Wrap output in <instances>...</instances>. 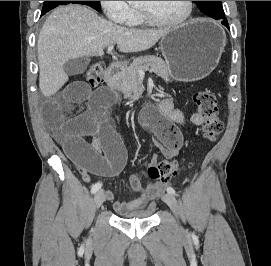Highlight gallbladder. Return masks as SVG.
<instances>
[{"label":"gallbladder","instance_id":"1","mask_svg":"<svg viewBox=\"0 0 271 266\" xmlns=\"http://www.w3.org/2000/svg\"><path fill=\"white\" fill-rule=\"evenodd\" d=\"M90 59L88 57L71 58L64 65V71L69 76L80 75L85 72L89 65Z\"/></svg>","mask_w":271,"mask_h":266}]
</instances>
